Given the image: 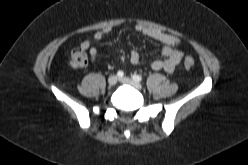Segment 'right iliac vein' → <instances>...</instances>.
<instances>
[{
  "label": "right iliac vein",
  "mask_w": 248,
  "mask_h": 165,
  "mask_svg": "<svg viewBox=\"0 0 248 165\" xmlns=\"http://www.w3.org/2000/svg\"><path fill=\"white\" fill-rule=\"evenodd\" d=\"M117 81H118V78H117L116 75H111V76H109V78H108V84H109L110 86L116 85Z\"/></svg>",
  "instance_id": "63e3f726"
}]
</instances>
